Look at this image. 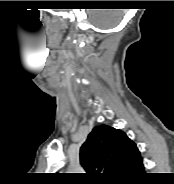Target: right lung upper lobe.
Here are the masks:
<instances>
[{"mask_svg":"<svg viewBox=\"0 0 174 184\" xmlns=\"http://www.w3.org/2000/svg\"><path fill=\"white\" fill-rule=\"evenodd\" d=\"M139 158L136 144L107 125L94 127L80 149V163L90 181H117Z\"/></svg>","mask_w":174,"mask_h":184,"instance_id":"obj_1","label":"right lung upper lobe"}]
</instances>
